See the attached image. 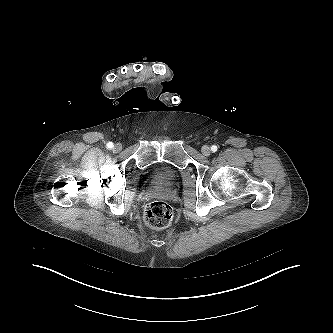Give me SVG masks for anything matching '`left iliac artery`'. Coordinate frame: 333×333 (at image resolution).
Here are the masks:
<instances>
[{
    "label": "left iliac artery",
    "instance_id": "left-iliac-artery-1",
    "mask_svg": "<svg viewBox=\"0 0 333 333\" xmlns=\"http://www.w3.org/2000/svg\"><path fill=\"white\" fill-rule=\"evenodd\" d=\"M211 151L212 152H216L217 151V146L216 145H212L211 146Z\"/></svg>",
    "mask_w": 333,
    "mask_h": 333
}]
</instances>
